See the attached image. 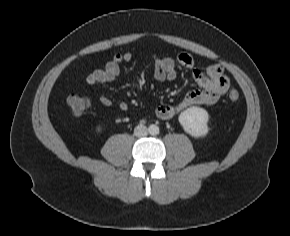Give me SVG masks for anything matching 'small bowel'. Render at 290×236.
<instances>
[{"mask_svg": "<svg viewBox=\"0 0 290 236\" xmlns=\"http://www.w3.org/2000/svg\"><path fill=\"white\" fill-rule=\"evenodd\" d=\"M133 57L131 52L116 53L103 68L92 71L87 76L86 83L89 86H94L114 80L120 73V65L123 62H131ZM153 62L156 80L174 81L177 78L176 67L180 65L193 70L194 81L199 86V89L188 92L179 104L159 106L155 112L160 119H170L190 106L214 105L229 87V79L224 74L221 65L211 64L206 68V73H204L195 67L194 57L186 52L178 54L176 58L155 56L153 57ZM99 100L103 106L109 107L112 105V100L106 95H102ZM119 107L121 110H126L127 104L121 102Z\"/></svg>", "mask_w": 290, "mask_h": 236, "instance_id": "c3829d8e", "label": "small bowel"}]
</instances>
